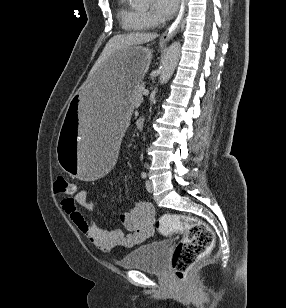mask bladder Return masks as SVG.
Returning <instances> with one entry per match:
<instances>
[{
  "instance_id": "bladder-1",
  "label": "bladder",
  "mask_w": 286,
  "mask_h": 308,
  "mask_svg": "<svg viewBox=\"0 0 286 308\" xmlns=\"http://www.w3.org/2000/svg\"><path fill=\"white\" fill-rule=\"evenodd\" d=\"M168 248L169 243L166 241L148 242L126 254L120 260V267L161 274L166 269Z\"/></svg>"
}]
</instances>
